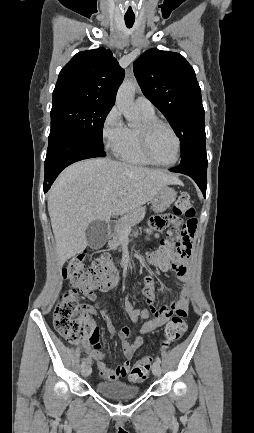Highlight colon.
I'll return each mask as SVG.
<instances>
[{
    "mask_svg": "<svg viewBox=\"0 0 254 433\" xmlns=\"http://www.w3.org/2000/svg\"><path fill=\"white\" fill-rule=\"evenodd\" d=\"M173 212V215H170L166 221L165 226L168 227V230L164 243L154 253L155 261L184 257L191 253V242L197 228V219L195 208L188 194L184 193L179 196ZM181 216L187 220L182 222ZM86 263V253H80L66 263L63 268V276L69 282L70 289L60 296L53 311L55 330L72 344H77L83 339L90 344L94 334V325L85 313L86 306L81 303L78 291H94L117 276L116 262L110 255L96 258L89 266ZM170 316L164 329V346L176 343L187 329L186 307L174 306ZM151 365V358L139 360L130 373V380L144 381L150 373Z\"/></svg>",
    "mask_w": 254,
    "mask_h": 433,
    "instance_id": "obj_1",
    "label": "colon"
}]
</instances>
